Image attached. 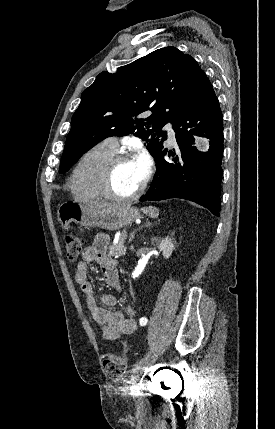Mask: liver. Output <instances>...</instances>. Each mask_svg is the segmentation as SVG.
<instances>
[{
  "label": "liver",
  "instance_id": "6515ba94",
  "mask_svg": "<svg viewBox=\"0 0 275 429\" xmlns=\"http://www.w3.org/2000/svg\"><path fill=\"white\" fill-rule=\"evenodd\" d=\"M75 201L82 203L79 199H75ZM84 205L93 208V209H100L112 206V204H106V203H99V202H89V203H83Z\"/></svg>",
  "mask_w": 275,
  "mask_h": 429
}]
</instances>
